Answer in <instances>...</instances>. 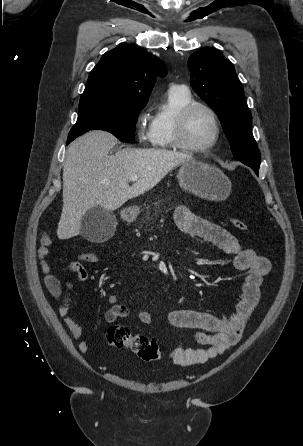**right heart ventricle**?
Returning a JSON list of instances; mask_svg holds the SVG:
<instances>
[{"label": "right heart ventricle", "mask_w": 303, "mask_h": 446, "mask_svg": "<svg viewBox=\"0 0 303 446\" xmlns=\"http://www.w3.org/2000/svg\"><path fill=\"white\" fill-rule=\"evenodd\" d=\"M193 102L190 91L182 86H171L152 117L151 143L155 148L172 149L174 144V122L179 111Z\"/></svg>", "instance_id": "1"}]
</instances>
